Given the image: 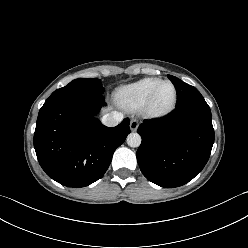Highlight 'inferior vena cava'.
Returning a JSON list of instances; mask_svg holds the SVG:
<instances>
[{
  "instance_id": "obj_1",
  "label": "inferior vena cava",
  "mask_w": 248,
  "mask_h": 248,
  "mask_svg": "<svg viewBox=\"0 0 248 248\" xmlns=\"http://www.w3.org/2000/svg\"><path fill=\"white\" fill-rule=\"evenodd\" d=\"M123 120V114L121 112L107 113L102 117V123L108 127H114Z\"/></svg>"
}]
</instances>
